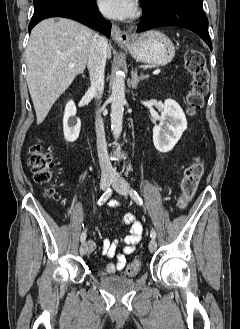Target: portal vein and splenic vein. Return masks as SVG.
Returning a JSON list of instances; mask_svg holds the SVG:
<instances>
[{"instance_id": "obj_1", "label": "portal vein and splenic vein", "mask_w": 240, "mask_h": 329, "mask_svg": "<svg viewBox=\"0 0 240 329\" xmlns=\"http://www.w3.org/2000/svg\"><path fill=\"white\" fill-rule=\"evenodd\" d=\"M69 67L73 68L74 67V64H69ZM160 72H161V69L158 68V69H156V70L153 71V75H158Z\"/></svg>"}]
</instances>
